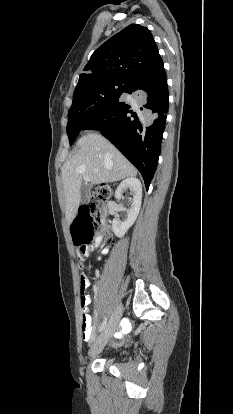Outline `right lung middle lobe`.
<instances>
[{"label":"right lung middle lobe","instance_id":"1","mask_svg":"<svg viewBox=\"0 0 233 414\" xmlns=\"http://www.w3.org/2000/svg\"><path fill=\"white\" fill-rule=\"evenodd\" d=\"M128 85L129 82L126 81L108 80L74 93L67 124L70 145L73 144L86 122L115 104Z\"/></svg>","mask_w":233,"mask_h":414}]
</instances>
